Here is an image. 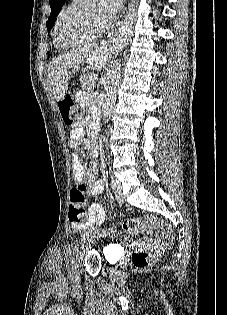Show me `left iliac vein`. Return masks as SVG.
<instances>
[{"label": "left iliac vein", "mask_w": 227, "mask_h": 315, "mask_svg": "<svg viewBox=\"0 0 227 315\" xmlns=\"http://www.w3.org/2000/svg\"><path fill=\"white\" fill-rule=\"evenodd\" d=\"M113 189L115 191V197L117 202L119 204H122L124 202V196L122 194L121 184L117 180H115V185L113 186ZM97 237H98L97 232L90 235V237L87 239V244L93 243Z\"/></svg>", "instance_id": "left-iliac-vein-1"}]
</instances>
